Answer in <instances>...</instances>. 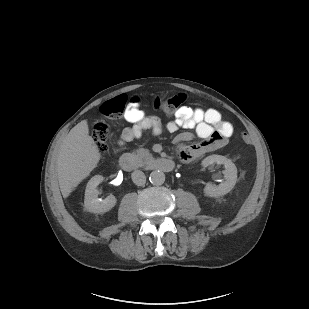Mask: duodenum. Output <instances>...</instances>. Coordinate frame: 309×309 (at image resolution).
<instances>
[{"label":"duodenum","instance_id":"duodenum-1","mask_svg":"<svg viewBox=\"0 0 309 309\" xmlns=\"http://www.w3.org/2000/svg\"><path fill=\"white\" fill-rule=\"evenodd\" d=\"M119 164L126 171H132L138 167L136 160L130 154L121 155ZM146 166L155 171L170 172L174 168V163L166 158H153L147 162Z\"/></svg>","mask_w":309,"mask_h":309}]
</instances>
